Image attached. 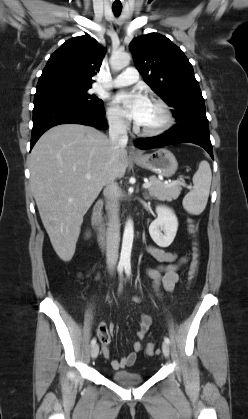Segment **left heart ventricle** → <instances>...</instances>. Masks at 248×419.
I'll list each match as a JSON object with an SVG mask.
<instances>
[{
    "label": "left heart ventricle",
    "mask_w": 248,
    "mask_h": 419,
    "mask_svg": "<svg viewBox=\"0 0 248 419\" xmlns=\"http://www.w3.org/2000/svg\"><path fill=\"white\" fill-rule=\"evenodd\" d=\"M163 114L161 110L150 102L144 119L139 123L143 128H153L161 124Z\"/></svg>",
    "instance_id": "left-heart-ventricle-1"
}]
</instances>
